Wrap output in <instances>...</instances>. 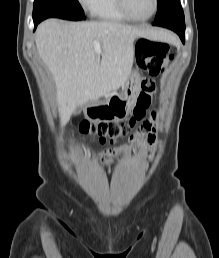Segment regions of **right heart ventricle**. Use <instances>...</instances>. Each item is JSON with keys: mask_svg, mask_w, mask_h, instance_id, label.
Returning a JSON list of instances; mask_svg holds the SVG:
<instances>
[{"mask_svg": "<svg viewBox=\"0 0 219 258\" xmlns=\"http://www.w3.org/2000/svg\"><path fill=\"white\" fill-rule=\"evenodd\" d=\"M91 12L95 17L106 21L127 20L118 9L116 0H97Z\"/></svg>", "mask_w": 219, "mask_h": 258, "instance_id": "right-heart-ventricle-1", "label": "right heart ventricle"}]
</instances>
